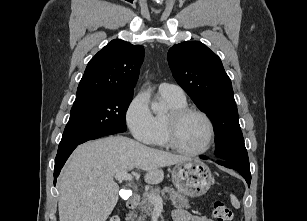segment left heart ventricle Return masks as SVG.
Listing matches in <instances>:
<instances>
[{
  "label": "left heart ventricle",
  "instance_id": "b2bd125f",
  "mask_svg": "<svg viewBox=\"0 0 307 221\" xmlns=\"http://www.w3.org/2000/svg\"><path fill=\"white\" fill-rule=\"evenodd\" d=\"M208 139V126L197 114H189L178 126L176 140L184 149L196 151L205 147Z\"/></svg>",
  "mask_w": 307,
  "mask_h": 221
}]
</instances>
